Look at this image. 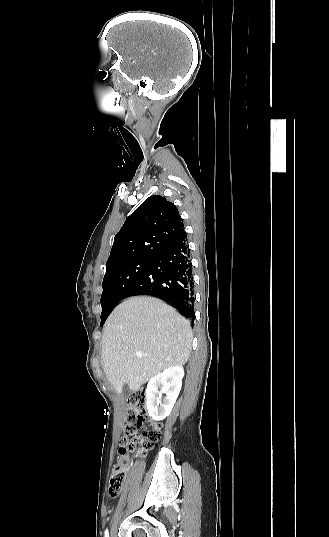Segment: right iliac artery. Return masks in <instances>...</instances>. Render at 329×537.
<instances>
[{"instance_id":"obj_1","label":"right iliac artery","mask_w":329,"mask_h":537,"mask_svg":"<svg viewBox=\"0 0 329 537\" xmlns=\"http://www.w3.org/2000/svg\"><path fill=\"white\" fill-rule=\"evenodd\" d=\"M105 537H109V531H108V529L105 531Z\"/></svg>"}]
</instances>
